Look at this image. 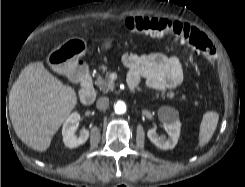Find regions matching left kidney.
<instances>
[{"label":"left kidney","mask_w":245,"mask_h":187,"mask_svg":"<svg viewBox=\"0 0 245 187\" xmlns=\"http://www.w3.org/2000/svg\"><path fill=\"white\" fill-rule=\"evenodd\" d=\"M158 116L169 137L159 136L156 127L149 129L147 136L156 147L163 150L173 149L180 136L181 122L179 113L172 107L164 106L159 109Z\"/></svg>","instance_id":"left-kidney-1"}]
</instances>
